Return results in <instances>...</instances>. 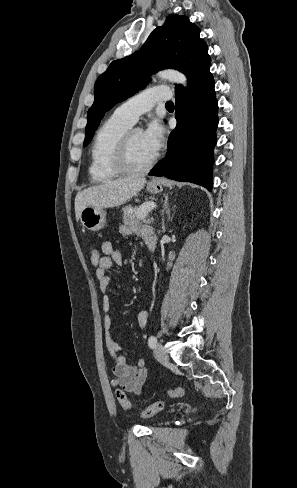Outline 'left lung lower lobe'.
Masks as SVG:
<instances>
[{
  "instance_id": "0a47b994",
  "label": "left lung lower lobe",
  "mask_w": 297,
  "mask_h": 488,
  "mask_svg": "<svg viewBox=\"0 0 297 488\" xmlns=\"http://www.w3.org/2000/svg\"><path fill=\"white\" fill-rule=\"evenodd\" d=\"M176 128L168 139V152L151 176H165L212 189L213 149L216 145L218 103L211 73L198 78L189 94H175Z\"/></svg>"
}]
</instances>
